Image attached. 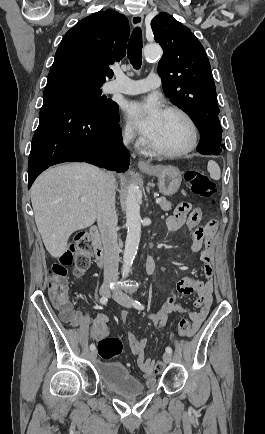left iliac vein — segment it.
Wrapping results in <instances>:
<instances>
[{
	"mask_svg": "<svg viewBox=\"0 0 265 434\" xmlns=\"http://www.w3.org/2000/svg\"><path fill=\"white\" fill-rule=\"evenodd\" d=\"M113 298L122 306L130 308L132 306L131 299L128 295L121 291H115L113 293ZM164 365L169 364L172 361V355L168 352L163 355Z\"/></svg>",
	"mask_w": 265,
	"mask_h": 434,
	"instance_id": "obj_1",
	"label": "left iliac vein"
}]
</instances>
